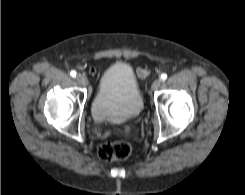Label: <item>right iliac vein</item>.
<instances>
[{
  "mask_svg": "<svg viewBox=\"0 0 245 195\" xmlns=\"http://www.w3.org/2000/svg\"><path fill=\"white\" fill-rule=\"evenodd\" d=\"M77 82L82 85V86H87L88 85V80L85 76L78 75L77 76Z\"/></svg>",
  "mask_w": 245,
  "mask_h": 195,
  "instance_id": "obj_1",
  "label": "right iliac vein"
}]
</instances>
